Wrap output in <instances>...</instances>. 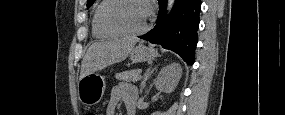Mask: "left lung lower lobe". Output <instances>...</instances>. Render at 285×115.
Instances as JSON below:
<instances>
[{
	"label": "left lung lower lobe",
	"mask_w": 285,
	"mask_h": 115,
	"mask_svg": "<svg viewBox=\"0 0 285 115\" xmlns=\"http://www.w3.org/2000/svg\"><path fill=\"white\" fill-rule=\"evenodd\" d=\"M165 5L166 0H159L156 26L139 38L176 52L188 65H192L198 41L201 1L177 0L168 16L165 14Z\"/></svg>",
	"instance_id": "1"
}]
</instances>
